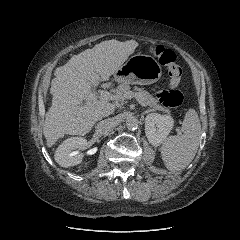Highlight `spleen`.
<instances>
[{
    "instance_id": "1",
    "label": "spleen",
    "mask_w": 240,
    "mask_h": 240,
    "mask_svg": "<svg viewBox=\"0 0 240 240\" xmlns=\"http://www.w3.org/2000/svg\"><path fill=\"white\" fill-rule=\"evenodd\" d=\"M182 134L169 136L161 147V156L170 171L185 169L194 159L201 138V124L197 112L189 109L182 123Z\"/></svg>"
}]
</instances>
